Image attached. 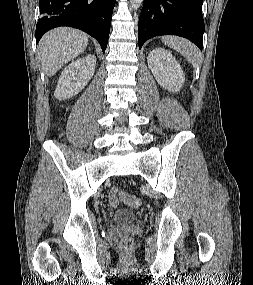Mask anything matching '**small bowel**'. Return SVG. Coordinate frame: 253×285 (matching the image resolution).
<instances>
[{
    "label": "small bowel",
    "mask_w": 253,
    "mask_h": 285,
    "mask_svg": "<svg viewBox=\"0 0 253 285\" xmlns=\"http://www.w3.org/2000/svg\"><path fill=\"white\" fill-rule=\"evenodd\" d=\"M117 192H118V189L116 187H114L110 192L109 201L112 206H117L119 203L118 198H117Z\"/></svg>",
    "instance_id": "1"
}]
</instances>
